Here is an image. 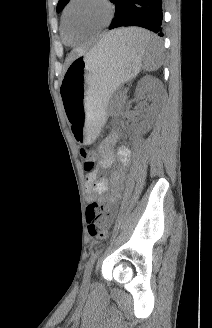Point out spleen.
I'll use <instances>...</instances> for the list:
<instances>
[{"instance_id": "3e777b00", "label": "spleen", "mask_w": 212, "mask_h": 328, "mask_svg": "<svg viewBox=\"0 0 212 328\" xmlns=\"http://www.w3.org/2000/svg\"><path fill=\"white\" fill-rule=\"evenodd\" d=\"M131 33L128 39V44L143 50L145 52L144 69L145 71H155L162 64V47L161 43L156 46H150L146 43L149 41L158 40V38L147 30L140 28H130ZM116 38L122 40L120 35H116Z\"/></svg>"}]
</instances>
